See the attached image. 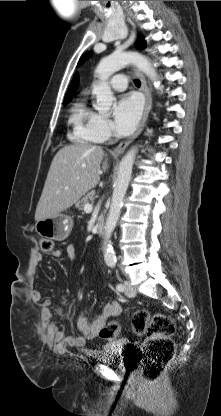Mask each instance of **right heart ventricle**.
I'll list each match as a JSON object with an SVG mask.
<instances>
[{"label": "right heart ventricle", "mask_w": 221, "mask_h": 416, "mask_svg": "<svg viewBox=\"0 0 221 416\" xmlns=\"http://www.w3.org/2000/svg\"><path fill=\"white\" fill-rule=\"evenodd\" d=\"M93 113L84 102H77L72 108L70 122L73 126V139L82 143L101 141L91 127Z\"/></svg>", "instance_id": "e07e8e85"}]
</instances>
